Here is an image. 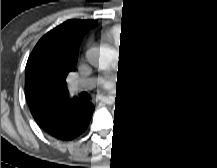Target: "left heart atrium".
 <instances>
[{
    "mask_svg": "<svg viewBox=\"0 0 217 168\" xmlns=\"http://www.w3.org/2000/svg\"><path fill=\"white\" fill-rule=\"evenodd\" d=\"M110 82H111V83H113V82H114V80H111Z\"/></svg>",
    "mask_w": 217,
    "mask_h": 168,
    "instance_id": "39dd6f15",
    "label": "left heart atrium"
}]
</instances>
